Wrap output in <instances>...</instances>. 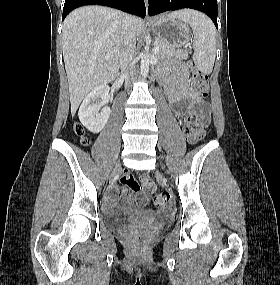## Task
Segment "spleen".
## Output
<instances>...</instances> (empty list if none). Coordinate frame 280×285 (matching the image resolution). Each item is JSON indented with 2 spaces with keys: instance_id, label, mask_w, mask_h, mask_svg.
Segmentation results:
<instances>
[{
  "instance_id": "spleen-1",
  "label": "spleen",
  "mask_w": 280,
  "mask_h": 285,
  "mask_svg": "<svg viewBox=\"0 0 280 285\" xmlns=\"http://www.w3.org/2000/svg\"><path fill=\"white\" fill-rule=\"evenodd\" d=\"M169 16L190 25L194 35L193 61L195 66L201 72L210 74L216 56V29L212 21L206 15L190 9L175 11Z\"/></svg>"
}]
</instances>
